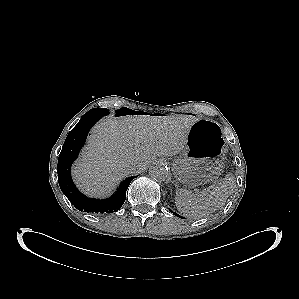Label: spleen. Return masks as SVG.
<instances>
[{"instance_id": "spleen-1", "label": "spleen", "mask_w": 299, "mask_h": 299, "mask_svg": "<svg viewBox=\"0 0 299 299\" xmlns=\"http://www.w3.org/2000/svg\"><path fill=\"white\" fill-rule=\"evenodd\" d=\"M235 187V176L229 173L222 183L211 185L199 193L178 189L175 196L177 210L188 218H202L223 207Z\"/></svg>"}]
</instances>
